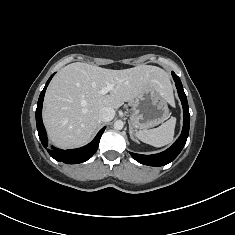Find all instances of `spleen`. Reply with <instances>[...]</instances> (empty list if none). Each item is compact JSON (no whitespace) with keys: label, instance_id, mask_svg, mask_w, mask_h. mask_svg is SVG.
Returning <instances> with one entry per match:
<instances>
[{"label":"spleen","instance_id":"3e777b00","mask_svg":"<svg viewBox=\"0 0 235 235\" xmlns=\"http://www.w3.org/2000/svg\"><path fill=\"white\" fill-rule=\"evenodd\" d=\"M176 118L171 117L165 123L151 130H143L136 133V136L144 143L154 147H162L173 141Z\"/></svg>","mask_w":235,"mask_h":235}]
</instances>
